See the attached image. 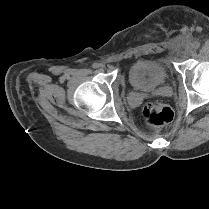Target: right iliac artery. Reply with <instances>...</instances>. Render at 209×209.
Instances as JSON below:
<instances>
[{"label":"right iliac artery","instance_id":"obj_1","mask_svg":"<svg viewBox=\"0 0 209 209\" xmlns=\"http://www.w3.org/2000/svg\"><path fill=\"white\" fill-rule=\"evenodd\" d=\"M92 67H93V68H98V67H99V64L94 63V64L92 65Z\"/></svg>","mask_w":209,"mask_h":209}]
</instances>
